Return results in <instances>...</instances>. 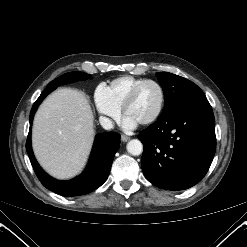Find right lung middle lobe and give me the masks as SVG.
Instances as JSON below:
<instances>
[{"mask_svg": "<svg viewBox=\"0 0 247 247\" xmlns=\"http://www.w3.org/2000/svg\"><path fill=\"white\" fill-rule=\"evenodd\" d=\"M90 78H91V75L83 73V72H78V71L69 72V73H66V74L56 78L52 82H50L47 87H51V86L57 87L61 84H66L69 82H74V81L84 80V79H90Z\"/></svg>", "mask_w": 247, "mask_h": 247, "instance_id": "dd1d6c3e", "label": "right lung middle lobe"}]
</instances>
